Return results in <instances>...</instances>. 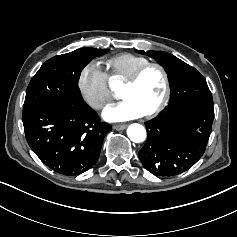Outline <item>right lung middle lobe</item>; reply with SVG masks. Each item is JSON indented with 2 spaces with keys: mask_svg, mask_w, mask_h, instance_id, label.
<instances>
[{
  "mask_svg": "<svg viewBox=\"0 0 237 237\" xmlns=\"http://www.w3.org/2000/svg\"><path fill=\"white\" fill-rule=\"evenodd\" d=\"M108 49L81 48L47 60L31 79L23 112L38 106L68 100H82L77 83L83 68Z\"/></svg>",
  "mask_w": 237,
  "mask_h": 237,
  "instance_id": "right-lung-middle-lobe-1",
  "label": "right lung middle lobe"
}]
</instances>
